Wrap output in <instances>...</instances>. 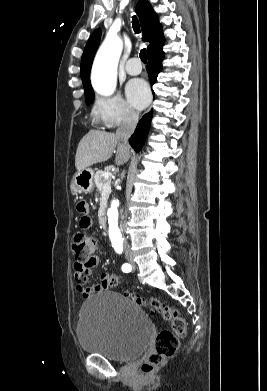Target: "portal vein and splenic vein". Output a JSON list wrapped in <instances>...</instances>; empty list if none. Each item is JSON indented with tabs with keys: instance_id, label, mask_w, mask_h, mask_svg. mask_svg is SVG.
Returning <instances> with one entry per match:
<instances>
[{
	"instance_id": "18ae733b",
	"label": "portal vein and splenic vein",
	"mask_w": 267,
	"mask_h": 391,
	"mask_svg": "<svg viewBox=\"0 0 267 391\" xmlns=\"http://www.w3.org/2000/svg\"><path fill=\"white\" fill-rule=\"evenodd\" d=\"M112 176V174L110 173V172H105L104 174H103V177L104 178H110Z\"/></svg>"
}]
</instances>
